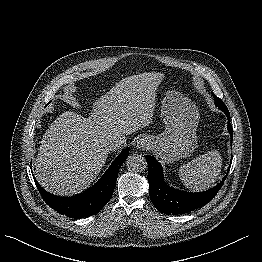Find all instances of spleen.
<instances>
[{
    "instance_id": "1",
    "label": "spleen",
    "mask_w": 262,
    "mask_h": 262,
    "mask_svg": "<svg viewBox=\"0 0 262 262\" xmlns=\"http://www.w3.org/2000/svg\"><path fill=\"white\" fill-rule=\"evenodd\" d=\"M222 158L217 150L208 151L179 168L185 187L201 190L211 186L221 172Z\"/></svg>"
}]
</instances>
